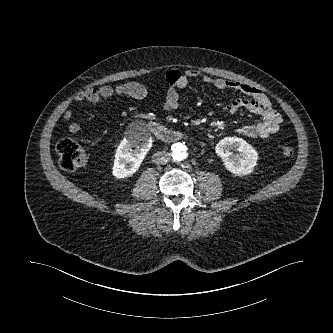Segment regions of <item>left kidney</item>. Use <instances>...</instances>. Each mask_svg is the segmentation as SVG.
Instances as JSON below:
<instances>
[{
  "instance_id": "obj_1",
  "label": "left kidney",
  "mask_w": 333,
  "mask_h": 333,
  "mask_svg": "<svg viewBox=\"0 0 333 333\" xmlns=\"http://www.w3.org/2000/svg\"><path fill=\"white\" fill-rule=\"evenodd\" d=\"M232 150L239 151V154L233 153ZM215 152L222 158L226 169L237 176L250 174L258 160L257 151L238 137H225L220 140Z\"/></svg>"
}]
</instances>
